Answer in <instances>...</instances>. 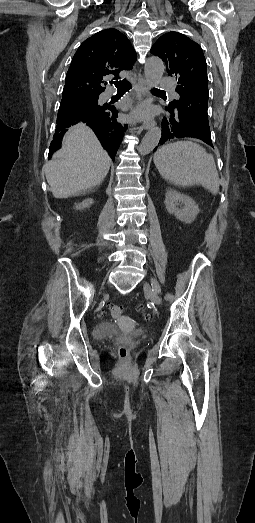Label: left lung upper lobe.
<instances>
[{
  "instance_id": "obj_1",
  "label": "left lung upper lobe",
  "mask_w": 255,
  "mask_h": 523,
  "mask_svg": "<svg viewBox=\"0 0 255 523\" xmlns=\"http://www.w3.org/2000/svg\"><path fill=\"white\" fill-rule=\"evenodd\" d=\"M151 53L159 56L167 66L168 75L178 80L179 86L176 91L180 98L170 102L165 107L166 111H181L179 115H189L188 121H196L199 125H211L207 113V64L200 45L181 33L169 32L157 40L151 48ZM208 130H211V127H208Z\"/></svg>"
}]
</instances>
